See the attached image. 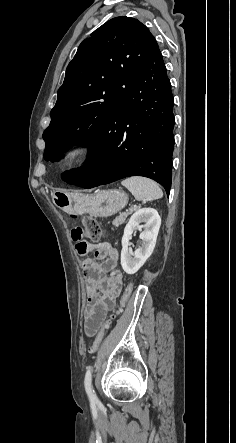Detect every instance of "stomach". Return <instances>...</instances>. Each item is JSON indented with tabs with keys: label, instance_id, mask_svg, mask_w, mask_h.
Returning <instances> with one entry per match:
<instances>
[{
	"label": "stomach",
	"instance_id": "stomach-1",
	"mask_svg": "<svg viewBox=\"0 0 236 443\" xmlns=\"http://www.w3.org/2000/svg\"><path fill=\"white\" fill-rule=\"evenodd\" d=\"M128 202L121 190H98L94 194L80 192H57L54 204L68 213H90L98 217H109L119 212Z\"/></svg>",
	"mask_w": 236,
	"mask_h": 443
}]
</instances>
